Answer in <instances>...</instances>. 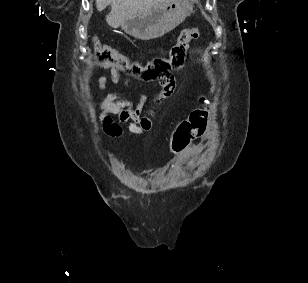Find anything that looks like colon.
<instances>
[{
	"instance_id": "colon-1",
	"label": "colon",
	"mask_w": 308,
	"mask_h": 283,
	"mask_svg": "<svg viewBox=\"0 0 308 283\" xmlns=\"http://www.w3.org/2000/svg\"><path fill=\"white\" fill-rule=\"evenodd\" d=\"M199 36L200 31L197 28L180 30L176 42L167 54L155 57L147 63L131 61L115 49L100 44L96 38H93V47L99 60L120 71L143 80H156L163 86L172 87L174 86L172 72L182 67L190 42ZM209 115L210 103L205 97H202L189 116L174 127L170 137V151L175 155L184 152L192 141L203 134Z\"/></svg>"
}]
</instances>
